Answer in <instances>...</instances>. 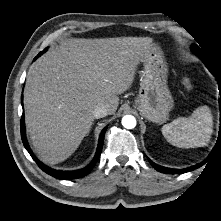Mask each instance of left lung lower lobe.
<instances>
[{
    "label": "left lung lower lobe",
    "mask_w": 221,
    "mask_h": 221,
    "mask_svg": "<svg viewBox=\"0 0 221 221\" xmlns=\"http://www.w3.org/2000/svg\"><path fill=\"white\" fill-rule=\"evenodd\" d=\"M203 62L206 64V66L209 68V66L207 65L206 63V60L205 58L203 57L202 58ZM210 69V68H209ZM220 103H221V100H220ZM220 127H221V117H220ZM148 161L150 162V164L159 172H162V173H165V174H182V173H186V172H189V171H192L198 167H200L203 163H200L198 165H195V166H192V167H189V168H185V169H171V168H166V167H162V166H159L155 163H153L150 159H148Z\"/></svg>",
    "instance_id": "1"
}]
</instances>
